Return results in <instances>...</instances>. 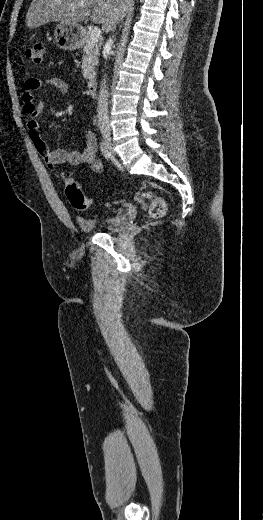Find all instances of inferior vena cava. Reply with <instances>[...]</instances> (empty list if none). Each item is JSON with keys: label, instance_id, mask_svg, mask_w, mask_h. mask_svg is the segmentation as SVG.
I'll return each mask as SVG.
<instances>
[{"label": "inferior vena cava", "instance_id": "1", "mask_svg": "<svg viewBox=\"0 0 263 520\" xmlns=\"http://www.w3.org/2000/svg\"><path fill=\"white\" fill-rule=\"evenodd\" d=\"M113 44L112 39H109L104 47V56L107 59L109 56V52L111 50V46ZM106 80L103 79L100 85V92L98 96L97 102V118H98V126L101 132H109L110 131V123L108 116V90L106 88Z\"/></svg>", "mask_w": 263, "mask_h": 520}]
</instances>
